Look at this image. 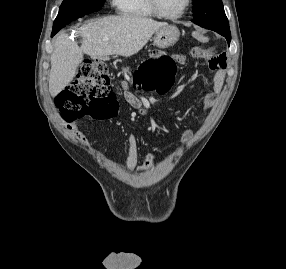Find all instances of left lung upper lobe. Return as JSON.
Returning a JSON list of instances; mask_svg holds the SVG:
<instances>
[{
	"mask_svg": "<svg viewBox=\"0 0 286 269\" xmlns=\"http://www.w3.org/2000/svg\"><path fill=\"white\" fill-rule=\"evenodd\" d=\"M193 22L213 31L230 30L222 0H193Z\"/></svg>",
	"mask_w": 286,
	"mask_h": 269,
	"instance_id": "left-lung-upper-lobe-1",
	"label": "left lung upper lobe"
}]
</instances>
